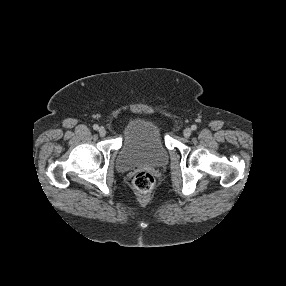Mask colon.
I'll return each instance as SVG.
<instances>
[{
	"instance_id": "obj_1",
	"label": "colon",
	"mask_w": 286,
	"mask_h": 286,
	"mask_svg": "<svg viewBox=\"0 0 286 286\" xmlns=\"http://www.w3.org/2000/svg\"><path fill=\"white\" fill-rule=\"evenodd\" d=\"M154 185V177L148 172H140L133 179V186L140 193L151 192Z\"/></svg>"
}]
</instances>
